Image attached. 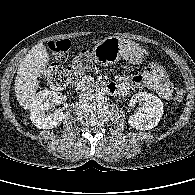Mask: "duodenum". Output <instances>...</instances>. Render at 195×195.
Segmentation results:
<instances>
[{
  "instance_id": "410a0bca",
  "label": "duodenum",
  "mask_w": 195,
  "mask_h": 195,
  "mask_svg": "<svg viewBox=\"0 0 195 195\" xmlns=\"http://www.w3.org/2000/svg\"><path fill=\"white\" fill-rule=\"evenodd\" d=\"M96 84L88 78H84L80 80L76 85V90L78 91H84L86 89H89L91 87H94ZM100 87L104 88L106 91L110 93H117L118 88L115 83L113 82H103L100 84Z\"/></svg>"
}]
</instances>
